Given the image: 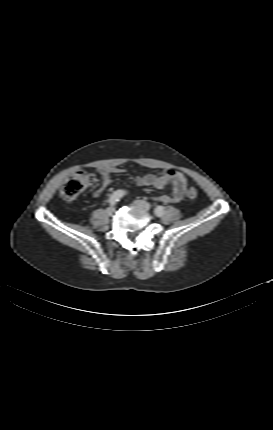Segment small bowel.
<instances>
[{
  "mask_svg": "<svg viewBox=\"0 0 273 430\" xmlns=\"http://www.w3.org/2000/svg\"><path fill=\"white\" fill-rule=\"evenodd\" d=\"M122 170L117 167L102 168L100 170L101 183L100 186L94 191V196L99 197L105 188L111 183V175L120 173ZM135 183L138 186H152L158 189H162L168 185L172 187V193L170 195H163L158 197L156 200L168 204L180 202L185 195L187 188L186 177L178 171L166 170L161 172H152L139 175L135 178Z\"/></svg>",
  "mask_w": 273,
  "mask_h": 430,
  "instance_id": "obj_1",
  "label": "small bowel"
}]
</instances>
